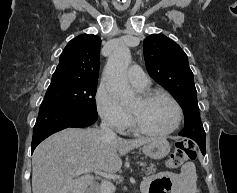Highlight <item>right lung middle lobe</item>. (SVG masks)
<instances>
[{"label":"right lung middle lobe","mask_w":237,"mask_h":193,"mask_svg":"<svg viewBox=\"0 0 237 193\" xmlns=\"http://www.w3.org/2000/svg\"><path fill=\"white\" fill-rule=\"evenodd\" d=\"M97 81L52 76L41 106L56 107L76 114L97 116Z\"/></svg>","instance_id":"obj_1"}]
</instances>
